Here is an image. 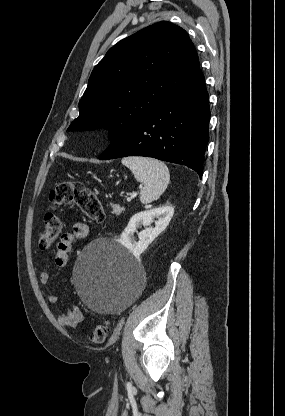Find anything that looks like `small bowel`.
Returning a JSON list of instances; mask_svg holds the SVG:
<instances>
[{
  "instance_id": "c3829d8e",
  "label": "small bowel",
  "mask_w": 285,
  "mask_h": 416,
  "mask_svg": "<svg viewBox=\"0 0 285 416\" xmlns=\"http://www.w3.org/2000/svg\"><path fill=\"white\" fill-rule=\"evenodd\" d=\"M89 234V227L87 224L77 222L73 225L70 233H65L61 236L57 245V252L55 255V264L58 267H65L69 262V253L72 250L73 243L77 240L85 239ZM40 282L47 285L50 282V273L46 270L40 273ZM47 299L52 304H57L59 298L56 293L50 291L47 294ZM84 320V315L79 307L72 306L65 312L58 315L57 321L63 327H76Z\"/></svg>"
}]
</instances>
